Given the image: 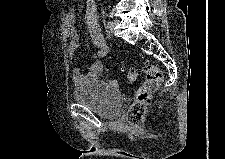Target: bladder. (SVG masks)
Wrapping results in <instances>:
<instances>
[{
	"label": "bladder",
	"instance_id": "bladder-1",
	"mask_svg": "<svg viewBox=\"0 0 225 159\" xmlns=\"http://www.w3.org/2000/svg\"><path fill=\"white\" fill-rule=\"evenodd\" d=\"M73 98L77 104L87 106L104 119L117 118L123 105L118 88L102 80H94L77 87Z\"/></svg>",
	"mask_w": 225,
	"mask_h": 159
}]
</instances>
